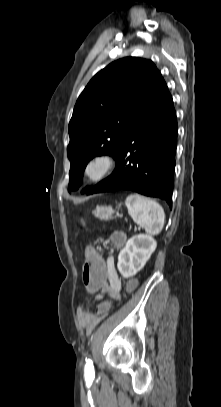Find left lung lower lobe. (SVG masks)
<instances>
[{"label": "left lung lower lobe", "mask_w": 221, "mask_h": 407, "mask_svg": "<svg viewBox=\"0 0 221 407\" xmlns=\"http://www.w3.org/2000/svg\"><path fill=\"white\" fill-rule=\"evenodd\" d=\"M177 134L172 96L162 79L129 126L114 172L87 193L132 190L161 198L171 208Z\"/></svg>", "instance_id": "0a47b994"}]
</instances>
